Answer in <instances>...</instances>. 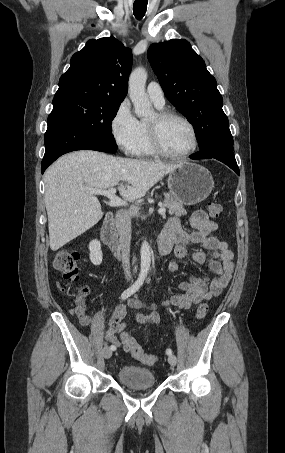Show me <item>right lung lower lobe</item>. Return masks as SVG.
<instances>
[{"mask_svg": "<svg viewBox=\"0 0 285 453\" xmlns=\"http://www.w3.org/2000/svg\"><path fill=\"white\" fill-rule=\"evenodd\" d=\"M45 155L42 160V173L61 155L76 150H96L113 153L117 148L100 143L85 133L68 118L51 113L48 117V128L45 133Z\"/></svg>", "mask_w": 285, "mask_h": 453, "instance_id": "98d812e1", "label": "right lung lower lobe"}]
</instances>
